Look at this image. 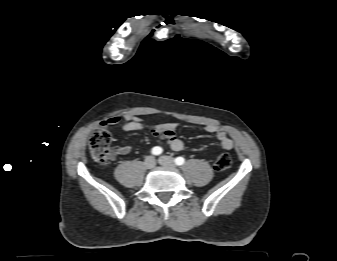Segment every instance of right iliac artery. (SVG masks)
I'll return each instance as SVG.
<instances>
[{"mask_svg": "<svg viewBox=\"0 0 337 261\" xmlns=\"http://www.w3.org/2000/svg\"><path fill=\"white\" fill-rule=\"evenodd\" d=\"M151 152L153 155H160L163 152V150L161 147L156 146L152 148Z\"/></svg>", "mask_w": 337, "mask_h": 261, "instance_id": "right-iliac-artery-1", "label": "right iliac artery"}]
</instances>
